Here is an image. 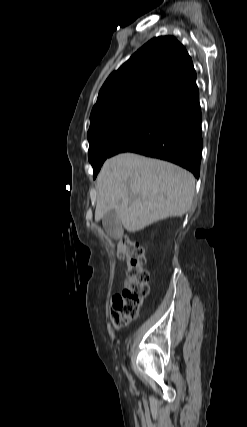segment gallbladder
<instances>
[{
  "label": "gallbladder",
  "mask_w": 247,
  "mask_h": 427,
  "mask_svg": "<svg viewBox=\"0 0 247 427\" xmlns=\"http://www.w3.org/2000/svg\"><path fill=\"white\" fill-rule=\"evenodd\" d=\"M102 224L107 234L112 238H120L123 234L121 220L116 211H108L102 218Z\"/></svg>",
  "instance_id": "1"
}]
</instances>
